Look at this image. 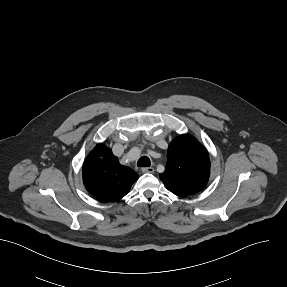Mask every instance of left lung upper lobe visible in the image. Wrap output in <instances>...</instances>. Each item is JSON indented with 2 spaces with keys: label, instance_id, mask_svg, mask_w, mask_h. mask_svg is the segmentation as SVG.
I'll return each instance as SVG.
<instances>
[{
  "label": "left lung upper lobe",
  "instance_id": "left-lung-upper-lobe-1",
  "mask_svg": "<svg viewBox=\"0 0 287 287\" xmlns=\"http://www.w3.org/2000/svg\"><path fill=\"white\" fill-rule=\"evenodd\" d=\"M209 174L208 152L195 138L184 134L170 143L166 168L159 176L169 191L185 197L202 190Z\"/></svg>",
  "mask_w": 287,
  "mask_h": 287
}]
</instances>
